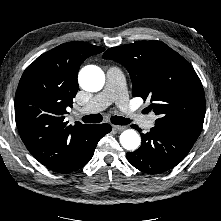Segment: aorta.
<instances>
[{
	"label": "aorta",
	"instance_id": "762f6f07",
	"mask_svg": "<svg viewBox=\"0 0 221 221\" xmlns=\"http://www.w3.org/2000/svg\"><path fill=\"white\" fill-rule=\"evenodd\" d=\"M78 80L85 91L98 92L105 84V75L98 66L87 65L80 70ZM119 139L122 147L130 151L136 150L141 142L139 134L133 129L123 131Z\"/></svg>",
	"mask_w": 221,
	"mask_h": 221
}]
</instances>
